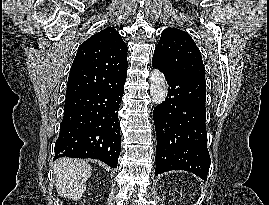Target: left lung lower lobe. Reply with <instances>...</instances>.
Masks as SVG:
<instances>
[{"instance_id":"0a47b994","label":"left lung lower lobe","mask_w":269,"mask_h":205,"mask_svg":"<svg viewBox=\"0 0 269 205\" xmlns=\"http://www.w3.org/2000/svg\"><path fill=\"white\" fill-rule=\"evenodd\" d=\"M152 66L163 72L169 85L166 101L153 111L155 172L185 170L207 180L211 160L206 145L205 79L170 74L155 61Z\"/></svg>"}]
</instances>
